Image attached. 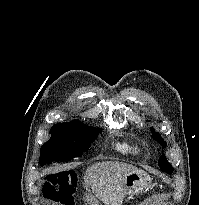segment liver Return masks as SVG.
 Wrapping results in <instances>:
<instances>
[{"instance_id": "6515ba94", "label": "liver", "mask_w": 199, "mask_h": 205, "mask_svg": "<svg viewBox=\"0 0 199 205\" xmlns=\"http://www.w3.org/2000/svg\"><path fill=\"white\" fill-rule=\"evenodd\" d=\"M142 172L136 167L121 162H99L90 166L84 175L85 186H91L93 195H86L90 205H121L126 193L124 180L128 174Z\"/></svg>"}]
</instances>
